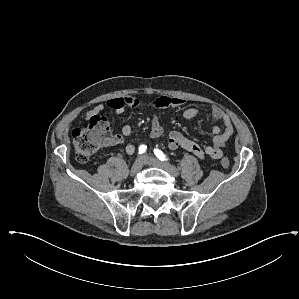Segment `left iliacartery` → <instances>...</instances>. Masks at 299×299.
<instances>
[{
  "mask_svg": "<svg viewBox=\"0 0 299 299\" xmlns=\"http://www.w3.org/2000/svg\"><path fill=\"white\" fill-rule=\"evenodd\" d=\"M154 154L161 161H167L168 160L167 157H166V155H164V153L161 150H159V149H154Z\"/></svg>",
  "mask_w": 299,
  "mask_h": 299,
  "instance_id": "obj_1",
  "label": "left iliac artery"
}]
</instances>
